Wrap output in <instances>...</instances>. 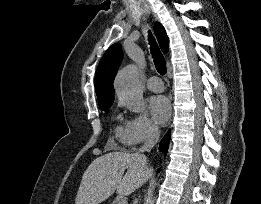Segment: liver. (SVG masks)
Instances as JSON below:
<instances>
[{"mask_svg": "<svg viewBox=\"0 0 261 204\" xmlns=\"http://www.w3.org/2000/svg\"><path fill=\"white\" fill-rule=\"evenodd\" d=\"M151 175L152 170L142 165L137 153H107L97 157L84 172L75 204H99L115 190L119 195H130Z\"/></svg>", "mask_w": 261, "mask_h": 204, "instance_id": "6515ba94", "label": "liver"}]
</instances>
